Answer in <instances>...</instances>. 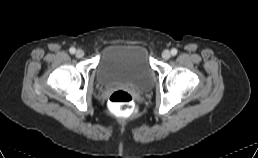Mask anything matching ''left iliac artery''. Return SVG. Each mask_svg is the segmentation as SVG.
<instances>
[{
  "mask_svg": "<svg viewBox=\"0 0 258 158\" xmlns=\"http://www.w3.org/2000/svg\"><path fill=\"white\" fill-rule=\"evenodd\" d=\"M177 49H175V48H173L172 50H171V54L173 55V56H175L176 54H177Z\"/></svg>",
  "mask_w": 258,
  "mask_h": 158,
  "instance_id": "44dca946",
  "label": "left iliac artery"
}]
</instances>
